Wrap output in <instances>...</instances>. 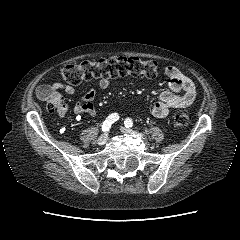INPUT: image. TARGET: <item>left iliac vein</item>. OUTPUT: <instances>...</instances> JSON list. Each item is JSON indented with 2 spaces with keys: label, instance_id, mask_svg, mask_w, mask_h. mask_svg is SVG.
Here are the masks:
<instances>
[{
  "label": "left iliac vein",
  "instance_id": "1",
  "mask_svg": "<svg viewBox=\"0 0 240 240\" xmlns=\"http://www.w3.org/2000/svg\"><path fill=\"white\" fill-rule=\"evenodd\" d=\"M120 130H121V132H123V133H127V134H134V133H136L135 131H133L132 129H130V128H126V127H120Z\"/></svg>",
  "mask_w": 240,
  "mask_h": 240
}]
</instances>
